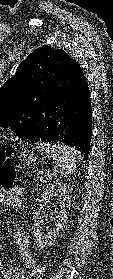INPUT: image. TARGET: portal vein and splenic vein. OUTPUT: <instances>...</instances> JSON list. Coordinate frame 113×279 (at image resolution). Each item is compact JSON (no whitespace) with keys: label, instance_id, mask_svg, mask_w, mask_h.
Instances as JSON below:
<instances>
[{"label":"portal vein and splenic vein","instance_id":"1","mask_svg":"<svg viewBox=\"0 0 113 279\" xmlns=\"http://www.w3.org/2000/svg\"><path fill=\"white\" fill-rule=\"evenodd\" d=\"M51 177V175L50 174H48V178H50Z\"/></svg>","mask_w":113,"mask_h":279}]
</instances>
